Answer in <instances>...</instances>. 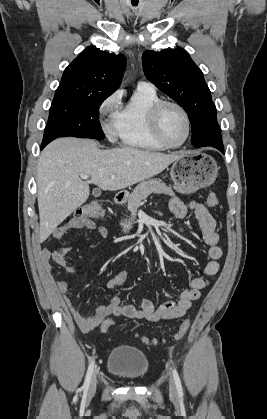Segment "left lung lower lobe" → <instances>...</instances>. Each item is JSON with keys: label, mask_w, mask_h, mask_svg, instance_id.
<instances>
[{"label": "left lung lower lobe", "mask_w": 267, "mask_h": 419, "mask_svg": "<svg viewBox=\"0 0 267 419\" xmlns=\"http://www.w3.org/2000/svg\"><path fill=\"white\" fill-rule=\"evenodd\" d=\"M210 135L211 136L207 139V141H203V142L199 143L198 146H195V147L212 146V147L217 148L221 152H223V145H218L217 143H215L214 139L212 138L213 135L212 134H210Z\"/></svg>", "instance_id": "obj_1"}]
</instances>
